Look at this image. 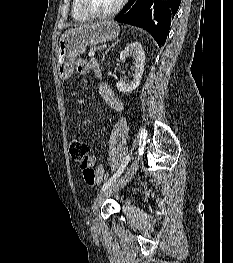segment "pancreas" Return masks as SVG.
I'll use <instances>...</instances> for the list:
<instances>
[{"label":"pancreas","mask_w":233,"mask_h":263,"mask_svg":"<svg viewBox=\"0 0 233 263\" xmlns=\"http://www.w3.org/2000/svg\"><path fill=\"white\" fill-rule=\"evenodd\" d=\"M100 49H101V47L97 46V47L91 48L90 51L95 52L96 50H100Z\"/></svg>","instance_id":"pancreas-1"}]
</instances>
